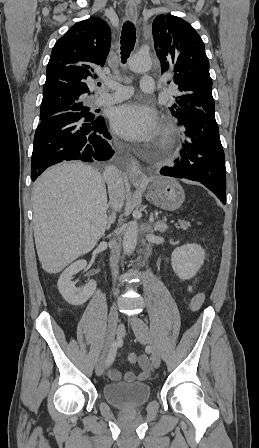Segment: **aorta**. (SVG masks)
Returning a JSON list of instances; mask_svg holds the SVG:
<instances>
[{
    "label": "aorta",
    "mask_w": 259,
    "mask_h": 448,
    "mask_svg": "<svg viewBox=\"0 0 259 448\" xmlns=\"http://www.w3.org/2000/svg\"><path fill=\"white\" fill-rule=\"evenodd\" d=\"M152 65L149 56L136 54L129 60V68L136 73L146 72ZM137 221H130L123 236V249L126 254L132 253L137 245L138 239Z\"/></svg>",
    "instance_id": "obj_1"
}]
</instances>
